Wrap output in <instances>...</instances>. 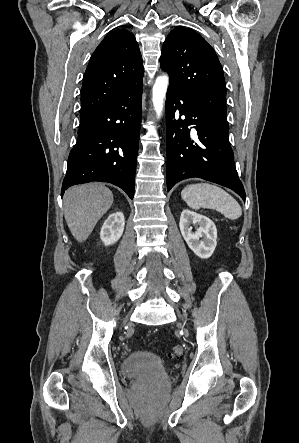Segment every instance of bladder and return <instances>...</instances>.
<instances>
[{"label": "bladder", "instance_id": "1", "mask_svg": "<svg viewBox=\"0 0 299 443\" xmlns=\"http://www.w3.org/2000/svg\"><path fill=\"white\" fill-rule=\"evenodd\" d=\"M124 375L144 378L151 382H161L167 379V371L161 360L149 351H134L125 357L121 364Z\"/></svg>", "mask_w": 299, "mask_h": 443}]
</instances>
